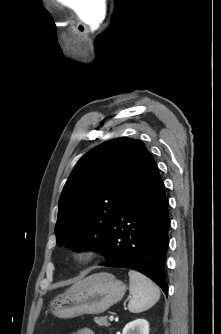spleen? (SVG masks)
<instances>
[{
  "mask_svg": "<svg viewBox=\"0 0 221 334\" xmlns=\"http://www.w3.org/2000/svg\"><path fill=\"white\" fill-rule=\"evenodd\" d=\"M129 290L132 295L128 309L132 313H140L151 308L160 299L159 288L145 275L130 270Z\"/></svg>",
  "mask_w": 221,
  "mask_h": 334,
  "instance_id": "3e777b00",
  "label": "spleen"
}]
</instances>
